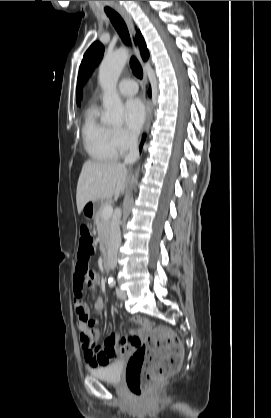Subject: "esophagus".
<instances>
[{"label":"esophagus","instance_id":"34e87169","mask_svg":"<svg viewBox=\"0 0 271 418\" xmlns=\"http://www.w3.org/2000/svg\"><path fill=\"white\" fill-rule=\"evenodd\" d=\"M117 12L122 16V18L124 19L127 27H128V31L130 34V39H131V43L134 49V53L137 57V59L139 60V62L144 65V62L142 60L141 54H140V48H139V44L137 42L136 39V31L134 28V23L132 20V17L130 16V14L121 7L116 8ZM144 83L147 84V73L144 71ZM146 107H147V118H146V123H145V127H144V132H147L151 121H152V104L149 100L146 101Z\"/></svg>","mask_w":271,"mask_h":418}]
</instances>
